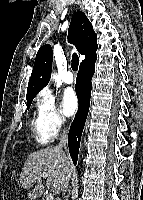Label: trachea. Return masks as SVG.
Listing matches in <instances>:
<instances>
[{"label": "trachea", "mask_w": 143, "mask_h": 200, "mask_svg": "<svg viewBox=\"0 0 143 200\" xmlns=\"http://www.w3.org/2000/svg\"><path fill=\"white\" fill-rule=\"evenodd\" d=\"M78 65H79V57L76 53H74L72 56V63H71V68L73 69V71L78 70Z\"/></svg>", "instance_id": "trachea-1"}]
</instances>
